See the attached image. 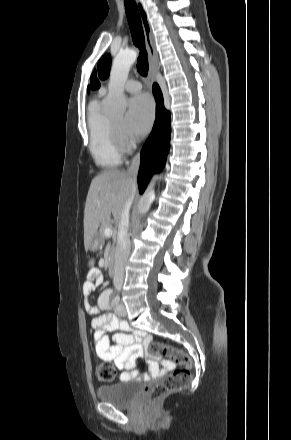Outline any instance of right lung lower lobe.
Listing matches in <instances>:
<instances>
[{
  "instance_id": "obj_1",
  "label": "right lung lower lobe",
  "mask_w": 291,
  "mask_h": 440,
  "mask_svg": "<svg viewBox=\"0 0 291 440\" xmlns=\"http://www.w3.org/2000/svg\"><path fill=\"white\" fill-rule=\"evenodd\" d=\"M157 103L153 130L141 151L138 173L140 193H143L154 173L160 172L166 162L170 147V113L164 108L163 96L157 84L153 85Z\"/></svg>"
}]
</instances>
